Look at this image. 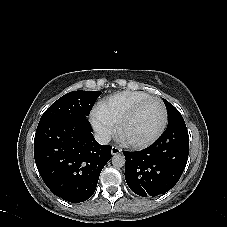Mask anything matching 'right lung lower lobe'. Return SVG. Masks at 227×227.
Wrapping results in <instances>:
<instances>
[{
  "label": "right lung lower lobe",
  "mask_w": 227,
  "mask_h": 227,
  "mask_svg": "<svg viewBox=\"0 0 227 227\" xmlns=\"http://www.w3.org/2000/svg\"><path fill=\"white\" fill-rule=\"evenodd\" d=\"M87 119L40 120L34 138L38 171L53 194L72 203L84 202L97 187L111 159V146L95 140Z\"/></svg>",
  "instance_id": "1"
}]
</instances>
